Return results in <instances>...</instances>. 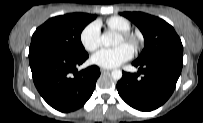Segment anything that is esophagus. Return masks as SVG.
<instances>
[{
	"label": "esophagus",
	"mask_w": 203,
	"mask_h": 123,
	"mask_svg": "<svg viewBox=\"0 0 203 123\" xmlns=\"http://www.w3.org/2000/svg\"><path fill=\"white\" fill-rule=\"evenodd\" d=\"M110 71H111V69L101 68L102 73H106V72H110Z\"/></svg>",
	"instance_id": "1"
}]
</instances>
